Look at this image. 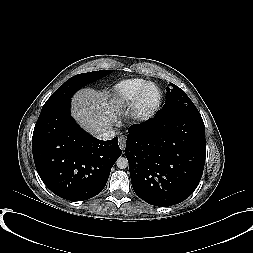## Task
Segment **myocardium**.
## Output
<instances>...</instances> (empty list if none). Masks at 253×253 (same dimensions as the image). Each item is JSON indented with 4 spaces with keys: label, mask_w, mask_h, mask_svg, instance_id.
Here are the masks:
<instances>
[{
    "label": "myocardium",
    "mask_w": 253,
    "mask_h": 253,
    "mask_svg": "<svg viewBox=\"0 0 253 253\" xmlns=\"http://www.w3.org/2000/svg\"><path fill=\"white\" fill-rule=\"evenodd\" d=\"M149 87H155L158 91V100L152 104L147 105L144 101V96ZM163 101V93L160 87L154 82L145 83L139 90L137 97L132 105L130 116L136 122H146L151 119L157 110L160 108Z\"/></svg>",
    "instance_id": "1"
}]
</instances>
